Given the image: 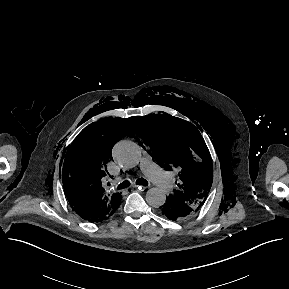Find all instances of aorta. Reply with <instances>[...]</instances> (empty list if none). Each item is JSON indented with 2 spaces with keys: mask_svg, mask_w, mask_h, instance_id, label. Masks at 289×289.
I'll list each match as a JSON object with an SVG mask.
<instances>
[{
  "mask_svg": "<svg viewBox=\"0 0 289 289\" xmlns=\"http://www.w3.org/2000/svg\"><path fill=\"white\" fill-rule=\"evenodd\" d=\"M113 158L124 168L135 167L141 158L140 147L129 140L119 141L113 148ZM166 201V194L160 188H151L146 192V202L151 206L158 208Z\"/></svg>",
  "mask_w": 289,
  "mask_h": 289,
  "instance_id": "obj_1",
  "label": "aorta"
}]
</instances>
